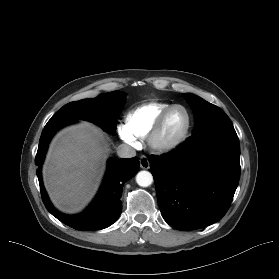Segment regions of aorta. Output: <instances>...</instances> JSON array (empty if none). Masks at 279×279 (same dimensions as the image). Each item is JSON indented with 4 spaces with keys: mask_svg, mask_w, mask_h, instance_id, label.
Instances as JSON below:
<instances>
[{
    "mask_svg": "<svg viewBox=\"0 0 279 279\" xmlns=\"http://www.w3.org/2000/svg\"><path fill=\"white\" fill-rule=\"evenodd\" d=\"M136 182L141 187H148L153 183V176L149 171H140L136 175Z\"/></svg>",
    "mask_w": 279,
    "mask_h": 279,
    "instance_id": "1",
    "label": "aorta"
}]
</instances>
